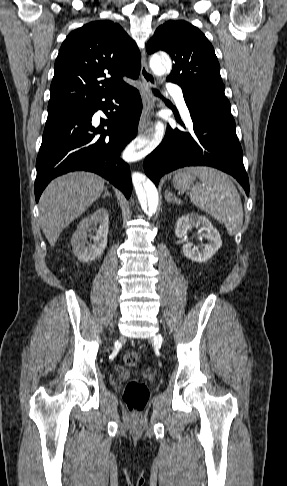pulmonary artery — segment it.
Returning a JSON list of instances; mask_svg holds the SVG:
<instances>
[{"instance_id":"pulmonary-artery-1","label":"pulmonary artery","mask_w":287,"mask_h":486,"mask_svg":"<svg viewBox=\"0 0 287 486\" xmlns=\"http://www.w3.org/2000/svg\"><path fill=\"white\" fill-rule=\"evenodd\" d=\"M167 90L175 95V99L178 106L183 111V113L188 117V109L184 101V97L181 89L177 85L170 83L167 85Z\"/></svg>"}]
</instances>
